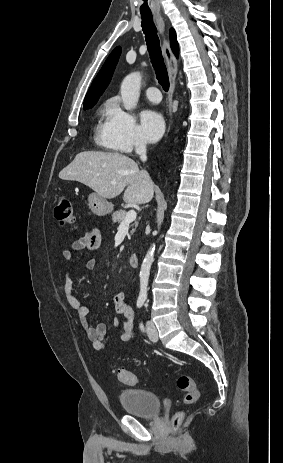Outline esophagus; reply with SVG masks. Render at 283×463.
Listing matches in <instances>:
<instances>
[{
	"instance_id": "obj_1",
	"label": "esophagus",
	"mask_w": 283,
	"mask_h": 463,
	"mask_svg": "<svg viewBox=\"0 0 283 463\" xmlns=\"http://www.w3.org/2000/svg\"><path fill=\"white\" fill-rule=\"evenodd\" d=\"M155 19H156L159 31L163 37L162 50H163V54L165 57L166 65L168 68V75H169L168 109H169V114L171 116L172 115L173 93L175 89V81H176V75H177V60L171 51L169 40L164 35L165 24H164L163 18L161 16H156ZM169 130H170V124L168 127V132Z\"/></svg>"
}]
</instances>
